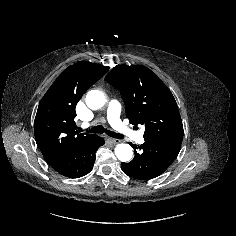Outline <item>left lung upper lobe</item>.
Segmentation results:
<instances>
[{
  "label": "left lung upper lobe",
  "instance_id": "left-lung-upper-lobe-1",
  "mask_svg": "<svg viewBox=\"0 0 236 236\" xmlns=\"http://www.w3.org/2000/svg\"><path fill=\"white\" fill-rule=\"evenodd\" d=\"M105 80L120 90L131 124L144 125V139L182 136L183 124L174 96L161 79L140 65L114 67Z\"/></svg>",
  "mask_w": 236,
  "mask_h": 236
}]
</instances>
